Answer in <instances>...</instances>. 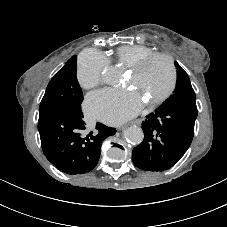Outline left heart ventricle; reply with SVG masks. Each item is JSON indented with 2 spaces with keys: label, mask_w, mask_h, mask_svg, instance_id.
I'll list each match as a JSON object with an SVG mask.
<instances>
[{
  "label": "left heart ventricle",
  "mask_w": 227,
  "mask_h": 227,
  "mask_svg": "<svg viewBox=\"0 0 227 227\" xmlns=\"http://www.w3.org/2000/svg\"><path fill=\"white\" fill-rule=\"evenodd\" d=\"M171 82V70L168 62L157 58L150 62L141 72H129L126 86H132L136 93L146 101H151L161 96Z\"/></svg>",
  "instance_id": "1"
}]
</instances>
